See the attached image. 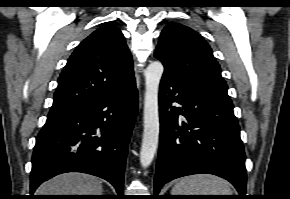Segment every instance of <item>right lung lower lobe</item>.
Masks as SVG:
<instances>
[{
	"label": "right lung lower lobe",
	"instance_id": "obj_1",
	"mask_svg": "<svg viewBox=\"0 0 290 199\" xmlns=\"http://www.w3.org/2000/svg\"><path fill=\"white\" fill-rule=\"evenodd\" d=\"M135 80L123 92L50 112L36 138L31 194L55 175L83 172L110 182L122 196L128 143L137 114Z\"/></svg>",
	"mask_w": 290,
	"mask_h": 199
}]
</instances>
